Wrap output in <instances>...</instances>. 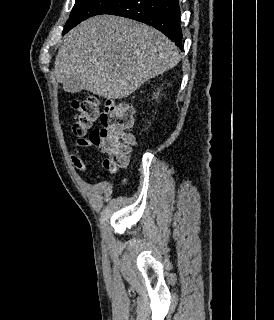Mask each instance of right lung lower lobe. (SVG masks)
Masks as SVG:
<instances>
[{
    "mask_svg": "<svg viewBox=\"0 0 274 320\" xmlns=\"http://www.w3.org/2000/svg\"><path fill=\"white\" fill-rule=\"evenodd\" d=\"M100 14L127 17L151 25L183 49L178 0H118Z\"/></svg>",
    "mask_w": 274,
    "mask_h": 320,
    "instance_id": "1",
    "label": "right lung lower lobe"
}]
</instances>
